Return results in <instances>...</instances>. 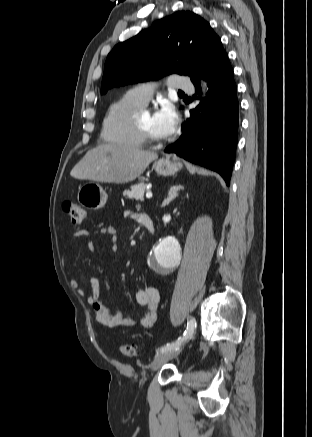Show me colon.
<instances>
[{"mask_svg":"<svg viewBox=\"0 0 312 437\" xmlns=\"http://www.w3.org/2000/svg\"><path fill=\"white\" fill-rule=\"evenodd\" d=\"M64 211L72 225H79L84 219L85 210L83 207L72 201H66L63 205ZM123 355L132 357L136 354V349L133 345L124 344L121 346Z\"/></svg>","mask_w":312,"mask_h":437,"instance_id":"1","label":"colon"}]
</instances>
